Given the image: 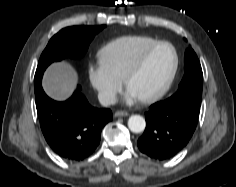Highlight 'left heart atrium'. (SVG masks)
Returning a JSON list of instances; mask_svg holds the SVG:
<instances>
[{
	"label": "left heart atrium",
	"mask_w": 236,
	"mask_h": 187,
	"mask_svg": "<svg viewBox=\"0 0 236 187\" xmlns=\"http://www.w3.org/2000/svg\"><path fill=\"white\" fill-rule=\"evenodd\" d=\"M125 99L127 102H132L137 99V96L131 90L127 89Z\"/></svg>",
	"instance_id": "obj_1"
}]
</instances>
